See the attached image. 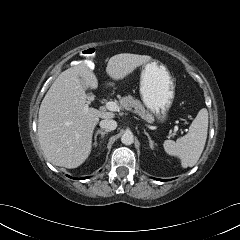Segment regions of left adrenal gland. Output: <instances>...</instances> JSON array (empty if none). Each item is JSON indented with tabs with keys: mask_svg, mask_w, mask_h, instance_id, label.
Wrapping results in <instances>:
<instances>
[{
	"mask_svg": "<svg viewBox=\"0 0 240 240\" xmlns=\"http://www.w3.org/2000/svg\"><path fill=\"white\" fill-rule=\"evenodd\" d=\"M144 134L147 136L148 140H149V145L152 149H154V143L150 137V135L146 132V130L144 129Z\"/></svg>",
	"mask_w": 240,
	"mask_h": 240,
	"instance_id": "obj_1",
	"label": "left adrenal gland"
}]
</instances>
